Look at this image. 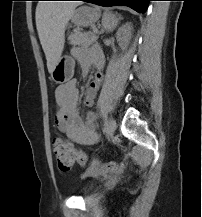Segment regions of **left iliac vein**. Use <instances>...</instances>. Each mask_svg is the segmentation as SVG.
I'll return each mask as SVG.
<instances>
[{
	"mask_svg": "<svg viewBox=\"0 0 202 217\" xmlns=\"http://www.w3.org/2000/svg\"><path fill=\"white\" fill-rule=\"evenodd\" d=\"M116 129V121L113 118H109L105 121V133L108 138H111Z\"/></svg>",
	"mask_w": 202,
	"mask_h": 217,
	"instance_id": "1",
	"label": "left iliac vein"
}]
</instances>
